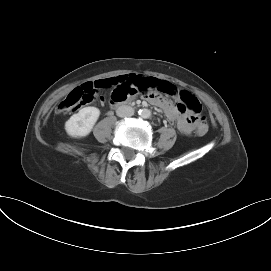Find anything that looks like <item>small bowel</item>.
Masks as SVG:
<instances>
[{"instance_id": "1", "label": "small bowel", "mask_w": 271, "mask_h": 271, "mask_svg": "<svg viewBox=\"0 0 271 271\" xmlns=\"http://www.w3.org/2000/svg\"><path fill=\"white\" fill-rule=\"evenodd\" d=\"M81 87H91L96 92L111 88L113 89L110 94L111 102H128L131 97L144 98L147 102L163 109L183 134H190L194 128L193 118L180 111L178 105L169 100V94H176V87L166 80L151 76L120 75L86 82Z\"/></svg>"}]
</instances>
